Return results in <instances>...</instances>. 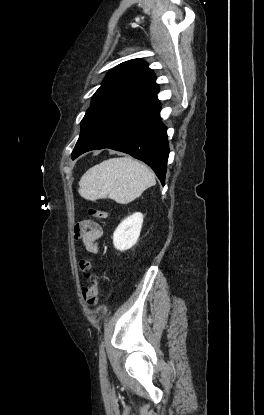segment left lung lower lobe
I'll use <instances>...</instances> for the list:
<instances>
[{
    "mask_svg": "<svg viewBox=\"0 0 264 415\" xmlns=\"http://www.w3.org/2000/svg\"><path fill=\"white\" fill-rule=\"evenodd\" d=\"M158 92L156 84L107 110L72 159L95 149L121 151L148 164L164 185L169 146L167 128L160 118Z\"/></svg>",
    "mask_w": 264,
    "mask_h": 415,
    "instance_id": "obj_1",
    "label": "left lung lower lobe"
}]
</instances>
